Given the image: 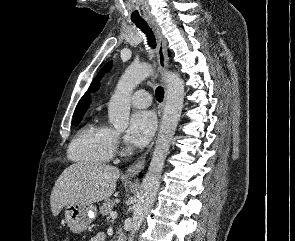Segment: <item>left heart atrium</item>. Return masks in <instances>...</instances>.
Segmentation results:
<instances>
[{"label": "left heart atrium", "mask_w": 295, "mask_h": 241, "mask_svg": "<svg viewBox=\"0 0 295 241\" xmlns=\"http://www.w3.org/2000/svg\"><path fill=\"white\" fill-rule=\"evenodd\" d=\"M156 128L154 115L148 111L133 114L126 132V140L135 147L145 146L152 138Z\"/></svg>", "instance_id": "39dd6f15"}]
</instances>
